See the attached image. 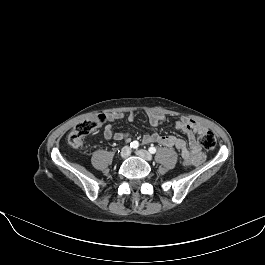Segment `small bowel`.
Wrapping results in <instances>:
<instances>
[{
	"instance_id": "small-bowel-1",
	"label": "small bowel",
	"mask_w": 265,
	"mask_h": 265,
	"mask_svg": "<svg viewBox=\"0 0 265 265\" xmlns=\"http://www.w3.org/2000/svg\"><path fill=\"white\" fill-rule=\"evenodd\" d=\"M150 125L157 128L164 123L165 117L162 114L152 111L146 112ZM136 117L134 111H130L127 115L129 121H133ZM109 121H116L123 118V114L113 112L107 116ZM174 127L187 136V141L173 135H160L156 131L146 134L142 138V143H157L160 146L174 148L180 152L184 167L192 165H199L204 161V154L201 150L200 144L196 139V134L205 131L206 127L202 123L187 117H183L174 123ZM103 137L106 140H125L130 141L131 135L127 132L113 133L112 125L107 124L103 129Z\"/></svg>"
}]
</instances>
